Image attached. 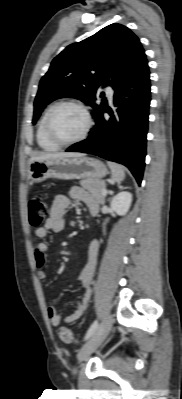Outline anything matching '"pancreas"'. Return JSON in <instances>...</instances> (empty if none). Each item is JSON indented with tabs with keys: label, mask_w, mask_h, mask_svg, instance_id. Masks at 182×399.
Masks as SVG:
<instances>
[{
	"label": "pancreas",
	"mask_w": 182,
	"mask_h": 399,
	"mask_svg": "<svg viewBox=\"0 0 182 399\" xmlns=\"http://www.w3.org/2000/svg\"><path fill=\"white\" fill-rule=\"evenodd\" d=\"M80 185L90 191L99 202L103 203L105 195L102 194L103 190H106V184L100 179H84L80 181Z\"/></svg>",
	"instance_id": "cf45deb5"
}]
</instances>
